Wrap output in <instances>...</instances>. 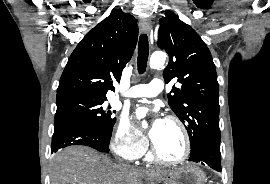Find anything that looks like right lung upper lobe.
<instances>
[{
	"instance_id": "1",
	"label": "right lung upper lobe",
	"mask_w": 270,
	"mask_h": 184,
	"mask_svg": "<svg viewBox=\"0 0 270 184\" xmlns=\"http://www.w3.org/2000/svg\"><path fill=\"white\" fill-rule=\"evenodd\" d=\"M138 38L136 19L121 10L90 30L68 59L60 78L57 98L69 95L106 99L114 91L112 79L120 80L133 55Z\"/></svg>"
}]
</instances>
